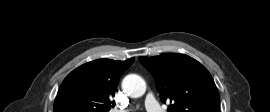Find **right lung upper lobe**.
<instances>
[{"mask_svg": "<svg viewBox=\"0 0 270 112\" xmlns=\"http://www.w3.org/2000/svg\"><path fill=\"white\" fill-rule=\"evenodd\" d=\"M133 62L103 58L79 66L60 85L54 112H108L120 76Z\"/></svg>", "mask_w": 270, "mask_h": 112, "instance_id": "cb5924a9", "label": "right lung upper lobe"}]
</instances>
